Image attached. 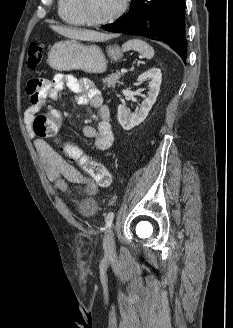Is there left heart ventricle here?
<instances>
[{
	"label": "left heart ventricle",
	"instance_id": "obj_1",
	"mask_svg": "<svg viewBox=\"0 0 233 328\" xmlns=\"http://www.w3.org/2000/svg\"><path fill=\"white\" fill-rule=\"evenodd\" d=\"M88 14L94 19L104 18L113 13L122 0H85Z\"/></svg>",
	"mask_w": 233,
	"mask_h": 328
}]
</instances>
